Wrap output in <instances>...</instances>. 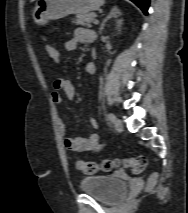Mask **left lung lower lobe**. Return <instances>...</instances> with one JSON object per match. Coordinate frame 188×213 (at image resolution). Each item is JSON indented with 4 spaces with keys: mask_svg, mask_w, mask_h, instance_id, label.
I'll return each mask as SVG.
<instances>
[{
    "mask_svg": "<svg viewBox=\"0 0 188 213\" xmlns=\"http://www.w3.org/2000/svg\"><path fill=\"white\" fill-rule=\"evenodd\" d=\"M147 15L150 0H131Z\"/></svg>",
    "mask_w": 188,
    "mask_h": 213,
    "instance_id": "left-lung-lower-lobe-1",
    "label": "left lung lower lobe"
}]
</instances>
